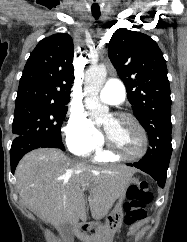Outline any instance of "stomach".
I'll return each mask as SVG.
<instances>
[{
  "label": "stomach",
  "instance_id": "stomach-1",
  "mask_svg": "<svg viewBox=\"0 0 187 242\" xmlns=\"http://www.w3.org/2000/svg\"><path fill=\"white\" fill-rule=\"evenodd\" d=\"M138 185L139 180L136 178H131L128 187ZM125 198L126 192L119 198L114 209L107 216L105 224H97L92 228V231L88 236L90 242H113L115 234L119 231L123 223V203Z\"/></svg>",
  "mask_w": 187,
  "mask_h": 242
}]
</instances>
